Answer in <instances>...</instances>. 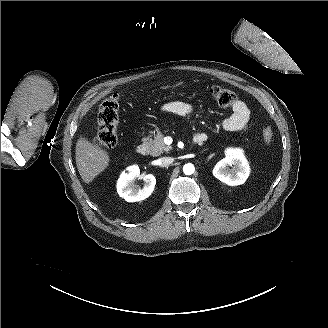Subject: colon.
I'll return each mask as SVG.
<instances>
[{"label":"colon","mask_w":328,"mask_h":328,"mask_svg":"<svg viewBox=\"0 0 328 328\" xmlns=\"http://www.w3.org/2000/svg\"><path fill=\"white\" fill-rule=\"evenodd\" d=\"M209 93L215 102L220 106H229L236 100V95L233 91L220 87L212 86L209 88ZM98 132L94 140L98 147L103 149H111L116 146L117 128L119 122V96L112 95L105 99L99 107L98 111ZM273 139L271 128L266 127L263 130V141L266 145H270Z\"/></svg>","instance_id":"5ec220e1"}]
</instances>
